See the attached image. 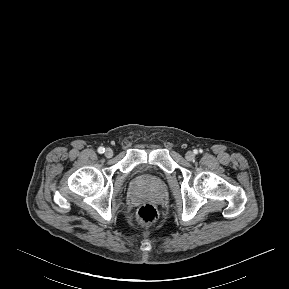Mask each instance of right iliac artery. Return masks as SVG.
Returning a JSON list of instances; mask_svg holds the SVG:
<instances>
[{
    "mask_svg": "<svg viewBox=\"0 0 289 289\" xmlns=\"http://www.w3.org/2000/svg\"><path fill=\"white\" fill-rule=\"evenodd\" d=\"M105 152V149L103 147L98 148V153L102 154Z\"/></svg>",
    "mask_w": 289,
    "mask_h": 289,
    "instance_id": "obj_1",
    "label": "right iliac artery"
}]
</instances>
